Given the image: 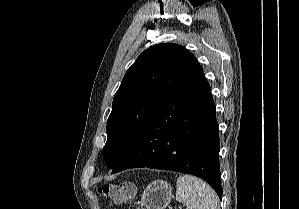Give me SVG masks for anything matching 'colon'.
<instances>
[{
    "label": "colon",
    "mask_w": 299,
    "mask_h": 209,
    "mask_svg": "<svg viewBox=\"0 0 299 209\" xmlns=\"http://www.w3.org/2000/svg\"><path fill=\"white\" fill-rule=\"evenodd\" d=\"M97 192L112 203H122L131 200L135 195V187L131 183H106Z\"/></svg>",
    "instance_id": "1"
}]
</instances>
